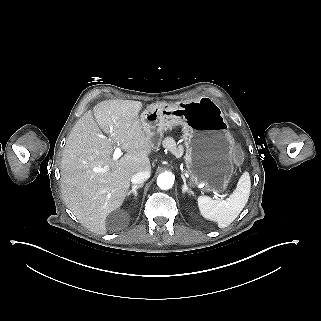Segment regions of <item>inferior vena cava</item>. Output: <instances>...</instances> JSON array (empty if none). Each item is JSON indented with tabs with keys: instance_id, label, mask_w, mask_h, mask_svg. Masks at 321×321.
Wrapping results in <instances>:
<instances>
[{
	"instance_id": "602c4592",
	"label": "inferior vena cava",
	"mask_w": 321,
	"mask_h": 321,
	"mask_svg": "<svg viewBox=\"0 0 321 321\" xmlns=\"http://www.w3.org/2000/svg\"><path fill=\"white\" fill-rule=\"evenodd\" d=\"M150 177V171L137 172L131 177V182L133 185L143 184Z\"/></svg>"
}]
</instances>
